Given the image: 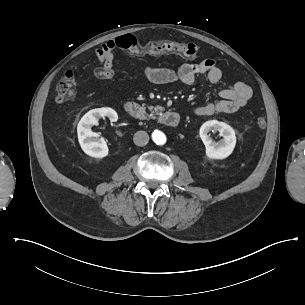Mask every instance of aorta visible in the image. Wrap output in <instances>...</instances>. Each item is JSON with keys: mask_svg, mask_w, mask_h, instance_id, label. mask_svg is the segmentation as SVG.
Here are the masks:
<instances>
[{"mask_svg": "<svg viewBox=\"0 0 305 305\" xmlns=\"http://www.w3.org/2000/svg\"><path fill=\"white\" fill-rule=\"evenodd\" d=\"M152 139L157 145H163L166 142L165 134L158 130L153 132Z\"/></svg>", "mask_w": 305, "mask_h": 305, "instance_id": "1", "label": "aorta"}]
</instances>
